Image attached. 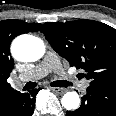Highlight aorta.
I'll return each instance as SVG.
<instances>
[{
  "label": "aorta",
  "instance_id": "762f6f07",
  "mask_svg": "<svg viewBox=\"0 0 116 116\" xmlns=\"http://www.w3.org/2000/svg\"><path fill=\"white\" fill-rule=\"evenodd\" d=\"M12 55L21 62H33L40 59L45 53L43 41L33 35L18 36L11 45ZM62 106L67 110H76L80 105L77 92H67L61 99Z\"/></svg>",
  "mask_w": 116,
  "mask_h": 116
}]
</instances>
